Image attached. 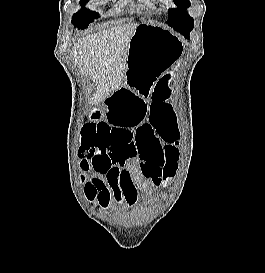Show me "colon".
Listing matches in <instances>:
<instances>
[{
	"instance_id": "1",
	"label": "colon",
	"mask_w": 265,
	"mask_h": 273,
	"mask_svg": "<svg viewBox=\"0 0 265 273\" xmlns=\"http://www.w3.org/2000/svg\"><path fill=\"white\" fill-rule=\"evenodd\" d=\"M170 74L164 75L155 87L153 93V105L149 108L150 128L159 132L158 138L167 144L164 146L165 163L163 166L162 181L173 177L177 171L179 151L175 146L179 145V129L175 115L171 110L167 99L170 96ZM113 125V123H111ZM108 129H83L80 153L82 155L95 156L96 162H104L101 154L107 149L110 141L107 136Z\"/></svg>"
}]
</instances>
